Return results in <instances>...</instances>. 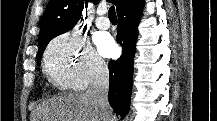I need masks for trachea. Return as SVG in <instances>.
<instances>
[{
    "instance_id": "obj_1",
    "label": "trachea",
    "mask_w": 217,
    "mask_h": 121,
    "mask_svg": "<svg viewBox=\"0 0 217 121\" xmlns=\"http://www.w3.org/2000/svg\"><path fill=\"white\" fill-rule=\"evenodd\" d=\"M109 19H117L116 12L114 6H111L108 11Z\"/></svg>"
}]
</instances>
